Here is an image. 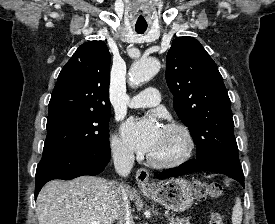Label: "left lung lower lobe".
<instances>
[{"label":"left lung lower lobe","instance_id":"left-lung-lower-lobe-1","mask_svg":"<svg viewBox=\"0 0 275 224\" xmlns=\"http://www.w3.org/2000/svg\"><path fill=\"white\" fill-rule=\"evenodd\" d=\"M201 170L225 174L238 181L244 187V175L240 162L209 163L206 161L202 162L201 160L194 159L178 167L164 170L163 172L159 173L156 178L164 179L169 177L182 176L186 173Z\"/></svg>","mask_w":275,"mask_h":224}]
</instances>
